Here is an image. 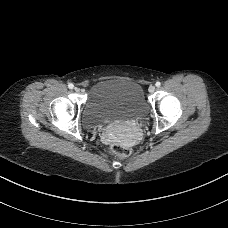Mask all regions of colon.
<instances>
[{
  "mask_svg": "<svg viewBox=\"0 0 228 228\" xmlns=\"http://www.w3.org/2000/svg\"><path fill=\"white\" fill-rule=\"evenodd\" d=\"M110 149L117 157H128L131 155L130 148L118 139L110 140Z\"/></svg>",
  "mask_w": 228,
  "mask_h": 228,
  "instance_id": "5ec220e1",
  "label": "colon"
}]
</instances>
